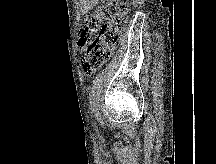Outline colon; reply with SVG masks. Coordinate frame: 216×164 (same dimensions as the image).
<instances>
[{
  "instance_id": "1",
  "label": "colon",
  "mask_w": 216,
  "mask_h": 164,
  "mask_svg": "<svg viewBox=\"0 0 216 164\" xmlns=\"http://www.w3.org/2000/svg\"><path fill=\"white\" fill-rule=\"evenodd\" d=\"M128 11V3L111 0L86 19L78 34V46L85 51L82 64L87 75L99 69L119 44Z\"/></svg>"
}]
</instances>
